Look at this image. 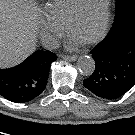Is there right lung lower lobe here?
<instances>
[{
  "label": "right lung lower lobe",
  "mask_w": 135,
  "mask_h": 135,
  "mask_svg": "<svg viewBox=\"0 0 135 135\" xmlns=\"http://www.w3.org/2000/svg\"><path fill=\"white\" fill-rule=\"evenodd\" d=\"M56 59L54 53L39 50L13 68L0 69V95L15 103L33 100L44 91Z\"/></svg>",
  "instance_id": "1"
}]
</instances>
